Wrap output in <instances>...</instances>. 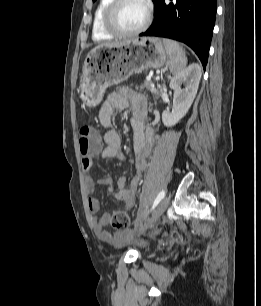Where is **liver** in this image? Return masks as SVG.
<instances>
[{
  "label": "liver",
  "instance_id": "6515ba94",
  "mask_svg": "<svg viewBox=\"0 0 261 306\" xmlns=\"http://www.w3.org/2000/svg\"><path fill=\"white\" fill-rule=\"evenodd\" d=\"M112 43H106V44H103L101 46H106V45H111Z\"/></svg>",
  "mask_w": 261,
  "mask_h": 306
}]
</instances>
